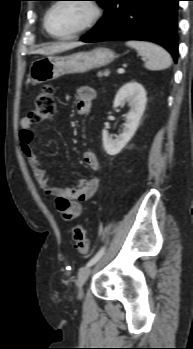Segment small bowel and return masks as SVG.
I'll return each mask as SVG.
<instances>
[{"label": "small bowel", "mask_w": 193, "mask_h": 349, "mask_svg": "<svg viewBox=\"0 0 193 349\" xmlns=\"http://www.w3.org/2000/svg\"><path fill=\"white\" fill-rule=\"evenodd\" d=\"M95 96V90L89 86H82L76 90V110L80 116L89 114ZM32 126L33 122L29 118L22 119L20 130L22 152L26 156L31 172L39 186L46 194L55 198L56 207L62 217L68 221L73 220L81 214V202L90 200L97 193L99 179H81L75 186L54 185L47 176L45 168L42 166L33 149L34 133ZM83 160L91 171H97L99 169V160L94 152L85 151Z\"/></svg>", "instance_id": "obj_1"}]
</instances>
